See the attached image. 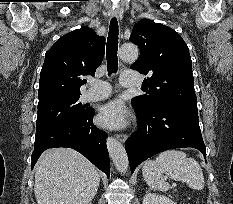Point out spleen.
<instances>
[{
    "label": "spleen",
    "instance_id": "spleen-1",
    "mask_svg": "<svg viewBox=\"0 0 233 204\" xmlns=\"http://www.w3.org/2000/svg\"><path fill=\"white\" fill-rule=\"evenodd\" d=\"M142 173L151 189L163 192L170 189L164 176L176 181L184 180L194 190H202L205 184L198 162L179 150L164 151L156 159L146 161Z\"/></svg>",
    "mask_w": 233,
    "mask_h": 204
}]
</instances>
